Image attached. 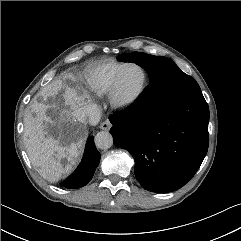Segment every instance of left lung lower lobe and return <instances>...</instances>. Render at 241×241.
<instances>
[{
    "instance_id": "1",
    "label": "left lung lower lobe",
    "mask_w": 241,
    "mask_h": 241,
    "mask_svg": "<svg viewBox=\"0 0 241 241\" xmlns=\"http://www.w3.org/2000/svg\"><path fill=\"white\" fill-rule=\"evenodd\" d=\"M209 108L201 91L174 100L156 77L129 109L110 117L114 144L135 160V176L151 192L183 187L209 145Z\"/></svg>"
}]
</instances>
